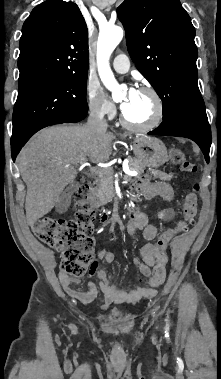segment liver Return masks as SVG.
Masks as SVG:
<instances>
[{
    "mask_svg": "<svg viewBox=\"0 0 221 379\" xmlns=\"http://www.w3.org/2000/svg\"><path fill=\"white\" fill-rule=\"evenodd\" d=\"M111 132L85 126H54L38 132L17 157L27 186L25 201L29 225L48 214L64 188L77 176V166L88 159L105 162L112 154Z\"/></svg>",
    "mask_w": 221,
    "mask_h": 379,
    "instance_id": "1",
    "label": "liver"
}]
</instances>
